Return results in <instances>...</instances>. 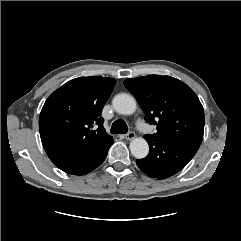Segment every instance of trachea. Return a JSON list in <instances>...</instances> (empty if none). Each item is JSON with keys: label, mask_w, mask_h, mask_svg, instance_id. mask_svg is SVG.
<instances>
[{"label": "trachea", "mask_w": 241, "mask_h": 241, "mask_svg": "<svg viewBox=\"0 0 241 241\" xmlns=\"http://www.w3.org/2000/svg\"><path fill=\"white\" fill-rule=\"evenodd\" d=\"M128 132L127 124L124 120L118 119L113 122L111 126V133L112 134H126Z\"/></svg>", "instance_id": "trachea-1"}]
</instances>
